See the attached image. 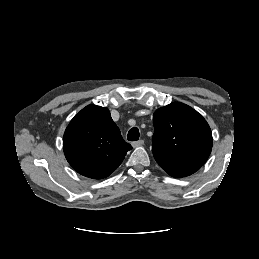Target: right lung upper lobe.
Instances as JSON below:
<instances>
[{
	"label": "right lung upper lobe",
	"mask_w": 259,
	"mask_h": 259,
	"mask_svg": "<svg viewBox=\"0 0 259 259\" xmlns=\"http://www.w3.org/2000/svg\"><path fill=\"white\" fill-rule=\"evenodd\" d=\"M63 149L79 174L102 179L115 171L132 147L122 138L107 108L88 105L67 126Z\"/></svg>",
	"instance_id": "cb5924a9"
}]
</instances>
